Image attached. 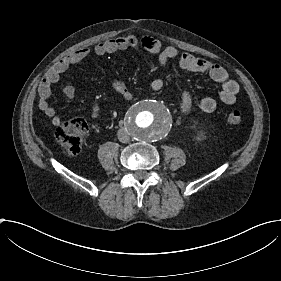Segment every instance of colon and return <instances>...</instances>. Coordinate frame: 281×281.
I'll list each match as a JSON object with an SVG mask.
<instances>
[{
    "label": "colon",
    "mask_w": 281,
    "mask_h": 281,
    "mask_svg": "<svg viewBox=\"0 0 281 281\" xmlns=\"http://www.w3.org/2000/svg\"><path fill=\"white\" fill-rule=\"evenodd\" d=\"M226 118L230 125L239 126L243 122V113L236 109L230 110ZM87 133L88 124L86 120L79 118L59 127L57 130V138L67 152L70 154H78L82 148V139Z\"/></svg>",
    "instance_id": "1"
}]
</instances>
